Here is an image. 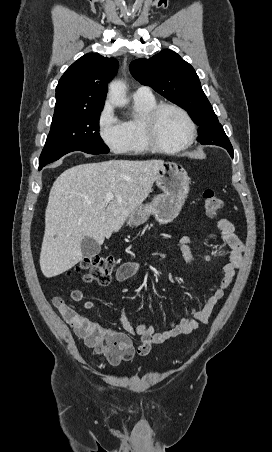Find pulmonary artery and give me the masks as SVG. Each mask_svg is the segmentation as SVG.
<instances>
[{
	"instance_id": "1",
	"label": "pulmonary artery",
	"mask_w": 272,
	"mask_h": 452,
	"mask_svg": "<svg viewBox=\"0 0 272 452\" xmlns=\"http://www.w3.org/2000/svg\"><path fill=\"white\" fill-rule=\"evenodd\" d=\"M152 91L148 86H140L136 89L134 96H152Z\"/></svg>"
}]
</instances>
